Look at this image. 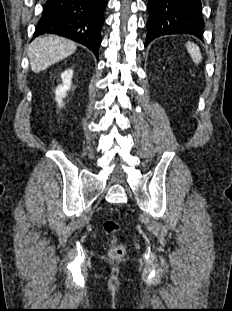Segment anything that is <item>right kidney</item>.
Masks as SVG:
<instances>
[{"label":"right kidney","instance_id":"ca27d5eb","mask_svg":"<svg viewBox=\"0 0 232 311\" xmlns=\"http://www.w3.org/2000/svg\"><path fill=\"white\" fill-rule=\"evenodd\" d=\"M72 77H73V70L72 69L65 70L61 74V78H62L63 83H62V85H59L55 90L56 101H57L58 106L60 108L64 105L62 99L65 98L67 91L71 89Z\"/></svg>","mask_w":232,"mask_h":311}]
</instances>
